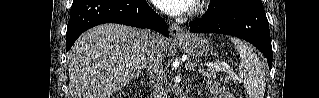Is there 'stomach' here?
I'll return each instance as SVG.
<instances>
[{
  "instance_id": "obj_1",
  "label": "stomach",
  "mask_w": 319,
  "mask_h": 98,
  "mask_svg": "<svg viewBox=\"0 0 319 98\" xmlns=\"http://www.w3.org/2000/svg\"><path fill=\"white\" fill-rule=\"evenodd\" d=\"M178 45L184 52L196 57L206 56L209 51L208 40L195 34L185 35L178 40Z\"/></svg>"
}]
</instances>
